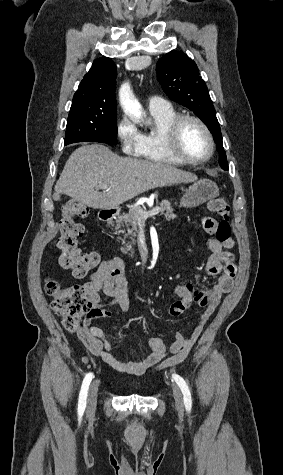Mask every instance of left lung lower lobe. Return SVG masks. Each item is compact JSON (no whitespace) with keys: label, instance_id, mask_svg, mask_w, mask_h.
<instances>
[{"label":"left lung lower lobe","instance_id":"1","mask_svg":"<svg viewBox=\"0 0 283 475\" xmlns=\"http://www.w3.org/2000/svg\"><path fill=\"white\" fill-rule=\"evenodd\" d=\"M215 143L217 144V150L219 152V164L224 170H228L227 157L223 148L222 139L214 138Z\"/></svg>","mask_w":283,"mask_h":475}]
</instances>
